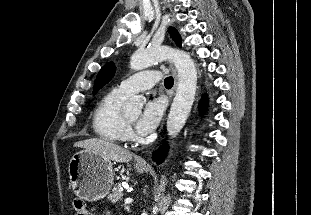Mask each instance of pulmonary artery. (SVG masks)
Wrapping results in <instances>:
<instances>
[{"label":"pulmonary artery","instance_id":"1","mask_svg":"<svg viewBox=\"0 0 311 215\" xmlns=\"http://www.w3.org/2000/svg\"><path fill=\"white\" fill-rule=\"evenodd\" d=\"M160 80V73L155 70L138 72L120 82L117 88L127 95L153 87Z\"/></svg>","mask_w":311,"mask_h":215}]
</instances>
